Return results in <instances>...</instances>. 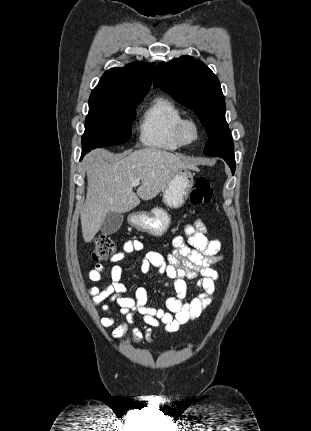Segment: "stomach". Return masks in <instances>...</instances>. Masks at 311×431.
<instances>
[{
  "mask_svg": "<svg viewBox=\"0 0 311 431\" xmlns=\"http://www.w3.org/2000/svg\"><path fill=\"white\" fill-rule=\"evenodd\" d=\"M194 186V176L190 170H179L173 180L162 192L163 204L167 208H182L189 198ZM172 217L164 208H152L150 212H133L127 217L129 225L138 231H147L150 235L160 237L170 227Z\"/></svg>",
  "mask_w": 311,
  "mask_h": 431,
  "instance_id": "stomach-1",
  "label": "stomach"
}]
</instances>
